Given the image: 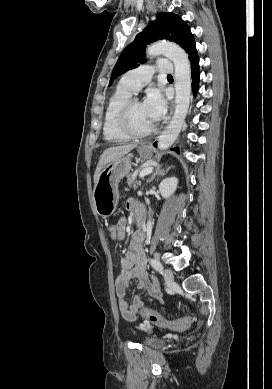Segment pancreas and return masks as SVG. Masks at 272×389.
I'll return each instance as SVG.
<instances>
[{"mask_svg":"<svg viewBox=\"0 0 272 389\" xmlns=\"http://www.w3.org/2000/svg\"><path fill=\"white\" fill-rule=\"evenodd\" d=\"M138 171H139V170H138ZM138 171H136V172H134V173H132V174H129V175L127 176V183H128V185H133V187H136L137 185L140 184V182H138V181L136 180Z\"/></svg>","mask_w":272,"mask_h":389,"instance_id":"obj_1","label":"pancreas"}]
</instances>
